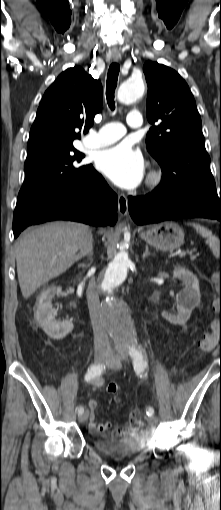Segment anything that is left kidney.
Segmentation results:
<instances>
[{
	"label": "left kidney",
	"instance_id": "1",
	"mask_svg": "<svg viewBox=\"0 0 221 510\" xmlns=\"http://www.w3.org/2000/svg\"><path fill=\"white\" fill-rule=\"evenodd\" d=\"M174 278L185 284V288L177 294V314L162 312L163 318L175 325H184L200 302V289L197 277L183 267H176L173 271Z\"/></svg>",
	"mask_w": 221,
	"mask_h": 510
}]
</instances>
